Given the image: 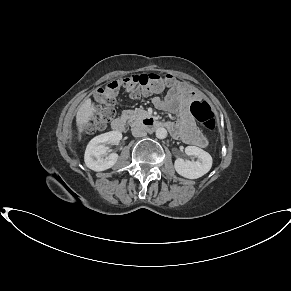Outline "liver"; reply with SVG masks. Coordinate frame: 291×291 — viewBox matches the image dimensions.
I'll use <instances>...</instances> for the list:
<instances>
[{
    "instance_id": "6515ba94",
    "label": "liver",
    "mask_w": 291,
    "mask_h": 291,
    "mask_svg": "<svg viewBox=\"0 0 291 291\" xmlns=\"http://www.w3.org/2000/svg\"><path fill=\"white\" fill-rule=\"evenodd\" d=\"M96 112L95 104L91 99H87L79 108L76 115V125L78 130V141H81L82 133L93 119Z\"/></svg>"
}]
</instances>
